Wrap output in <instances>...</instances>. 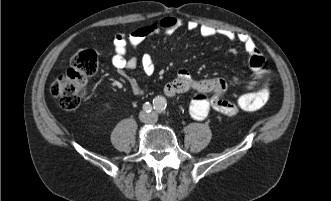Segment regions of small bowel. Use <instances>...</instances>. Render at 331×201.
<instances>
[{"mask_svg":"<svg viewBox=\"0 0 331 201\" xmlns=\"http://www.w3.org/2000/svg\"><path fill=\"white\" fill-rule=\"evenodd\" d=\"M181 25L182 21L179 18L170 16L162 18L158 22L134 29L128 33H117L113 40L114 53L111 58L112 65L122 74L126 70L135 69L139 61L135 56L128 57L129 47L135 48L146 38L153 35H171ZM186 27L190 31H198L205 38L222 36L231 42L241 43L248 55L249 67L256 75V78L249 83L250 88L257 86L260 79L267 76V63L249 35L209 25H200L194 21H188ZM230 51L236 53V45H232ZM140 62L147 75L154 73V62L149 54H144ZM128 83L131 92L135 96H142L144 94L143 87L136 80L130 78L128 79ZM187 92L196 93L189 105V113L195 120H204L211 110L228 116H233L240 110L235 102L225 98L227 83L222 78L196 80L187 70L180 69L176 78L165 85L164 93L168 96H174Z\"/></svg>","mask_w":331,"mask_h":201,"instance_id":"small-bowel-1","label":"small bowel"}]
</instances>
